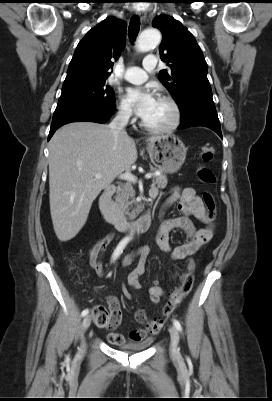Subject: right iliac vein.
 Returning <instances> with one entry per match:
<instances>
[{
    "label": "right iliac vein",
    "mask_w": 272,
    "mask_h": 401,
    "mask_svg": "<svg viewBox=\"0 0 272 401\" xmlns=\"http://www.w3.org/2000/svg\"><path fill=\"white\" fill-rule=\"evenodd\" d=\"M90 324H91V316L87 315L83 319V322H82V332H85L89 328ZM81 347H82V350H83L84 349V342L83 341H82Z\"/></svg>",
    "instance_id": "1"
}]
</instances>
